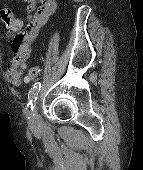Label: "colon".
<instances>
[{
	"label": "colon",
	"mask_w": 143,
	"mask_h": 170,
	"mask_svg": "<svg viewBox=\"0 0 143 170\" xmlns=\"http://www.w3.org/2000/svg\"><path fill=\"white\" fill-rule=\"evenodd\" d=\"M5 17L7 18V20L9 21V24L15 25L14 23H11V18L9 16V14H5ZM40 73V67L38 65H34L32 66L27 73L26 76V81L27 82H32L36 79V77L39 75Z\"/></svg>",
	"instance_id": "obj_1"
}]
</instances>
